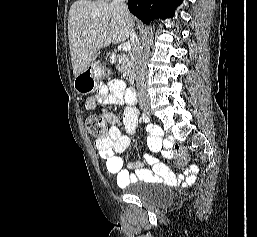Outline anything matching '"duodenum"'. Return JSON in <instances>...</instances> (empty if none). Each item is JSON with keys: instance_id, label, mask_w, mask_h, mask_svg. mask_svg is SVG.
I'll use <instances>...</instances> for the list:
<instances>
[{"instance_id": "duodenum-1", "label": "duodenum", "mask_w": 257, "mask_h": 237, "mask_svg": "<svg viewBox=\"0 0 257 237\" xmlns=\"http://www.w3.org/2000/svg\"><path fill=\"white\" fill-rule=\"evenodd\" d=\"M125 97L126 100L131 103L134 104L136 102V91L133 87H129L126 89L125 91Z\"/></svg>"}]
</instances>
